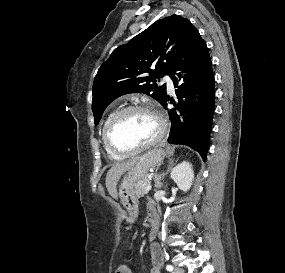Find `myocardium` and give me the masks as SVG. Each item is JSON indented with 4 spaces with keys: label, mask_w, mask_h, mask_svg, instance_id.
<instances>
[{
    "label": "myocardium",
    "mask_w": 285,
    "mask_h": 273,
    "mask_svg": "<svg viewBox=\"0 0 285 273\" xmlns=\"http://www.w3.org/2000/svg\"><path fill=\"white\" fill-rule=\"evenodd\" d=\"M133 111H143V112H147L150 115H152L158 124V132L152 140L142 145H139L137 147L130 148V149L121 148L114 143L112 139V132H113L115 125L119 121V119L125 114L129 112H133ZM166 133H167V123H166L164 116L158 109H156L153 106L147 105V104H131V105L122 107L121 109L117 110L112 115V117L110 118V120L108 121L106 125L105 132H104V138H105V142L107 146L112 151L122 154V155H131V154H136L138 152H141L143 150H146L156 145L165 137Z\"/></svg>",
    "instance_id": "f54148a6"
}]
</instances>
